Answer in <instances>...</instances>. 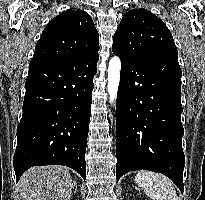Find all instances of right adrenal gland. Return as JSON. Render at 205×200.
Segmentation results:
<instances>
[{
    "label": "right adrenal gland",
    "instance_id": "2a0ac1e0",
    "mask_svg": "<svg viewBox=\"0 0 205 200\" xmlns=\"http://www.w3.org/2000/svg\"><path fill=\"white\" fill-rule=\"evenodd\" d=\"M74 187H75V189H77V183H76V181L74 182Z\"/></svg>",
    "mask_w": 205,
    "mask_h": 200
}]
</instances>
